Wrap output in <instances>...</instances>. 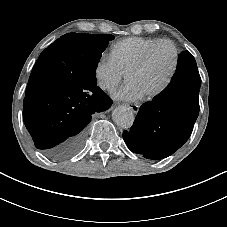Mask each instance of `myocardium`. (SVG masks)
Wrapping results in <instances>:
<instances>
[{
  "label": "myocardium",
  "instance_id": "myocardium-1",
  "mask_svg": "<svg viewBox=\"0 0 227 227\" xmlns=\"http://www.w3.org/2000/svg\"><path fill=\"white\" fill-rule=\"evenodd\" d=\"M159 44H167L171 47V49L173 51V61H172L171 68L167 74V77L165 78L163 83L158 88H156L153 92L146 95L147 99H149V100L154 99V98L158 97L159 95H161L171 84V82L176 74V71L178 69V65H179L178 46L170 39L157 40L156 42L151 44L145 50V52L142 54V56L135 62V64L129 69V71L127 73V76H128L130 74L136 73V72L140 71L141 69H143V67L146 65L151 53L153 52L155 47L158 46ZM127 76H126V78H127Z\"/></svg>",
  "mask_w": 227,
  "mask_h": 227
}]
</instances>
